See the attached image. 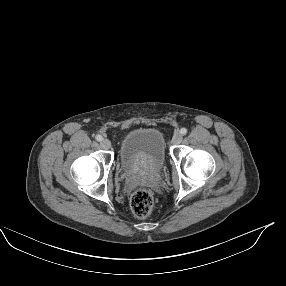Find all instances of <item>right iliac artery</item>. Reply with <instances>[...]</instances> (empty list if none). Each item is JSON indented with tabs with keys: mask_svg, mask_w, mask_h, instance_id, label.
Segmentation results:
<instances>
[{
	"mask_svg": "<svg viewBox=\"0 0 286 286\" xmlns=\"http://www.w3.org/2000/svg\"><path fill=\"white\" fill-rule=\"evenodd\" d=\"M95 138H96L97 141H101L102 140V136L101 135H96Z\"/></svg>",
	"mask_w": 286,
	"mask_h": 286,
	"instance_id": "right-iliac-artery-1",
	"label": "right iliac artery"
}]
</instances>
